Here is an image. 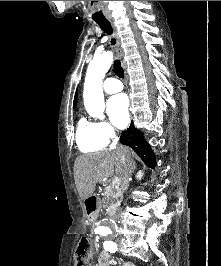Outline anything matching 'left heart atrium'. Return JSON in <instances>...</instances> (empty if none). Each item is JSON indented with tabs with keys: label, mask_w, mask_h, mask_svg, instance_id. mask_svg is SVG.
I'll list each match as a JSON object with an SVG mask.
<instances>
[{
	"label": "left heart atrium",
	"mask_w": 221,
	"mask_h": 266,
	"mask_svg": "<svg viewBox=\"0 0 221 266\" xmlns=\"http://www.w3.org/2000/svg\"><path fill=\"white\" fill-rule=\"evenodd\" d=\"M129 102L125 94H117L107 101V112L112 123L118 128H124L129 120Z\"/></svg>",
	"instance_id": "1"
}]
</instances>
